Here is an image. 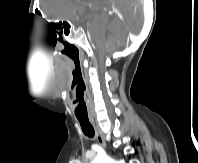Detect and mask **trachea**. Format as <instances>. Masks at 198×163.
Instances as JSON below:
<instances>
[{
    "instance_id": "trachea-1",
    "label": "trachea",
    "mask_w": 198,
    "mask_h": 163,
    "mask_svg": "<svg viewBox=\"0 0 198 163\" xmlns=\"http://www.w3.org/2000/svg\"><path fill=\"white\" fill-rule=\"evenodd\" d=\"M82 105H83V103H81L80 106H82ZM77 119L80 122L82 131L84 132V134L86 136L90 137V138H93L95 132H94V128H93L92 124L89 121V118L88 117L77 116Z\"/></svg>"
}]
</instances>
